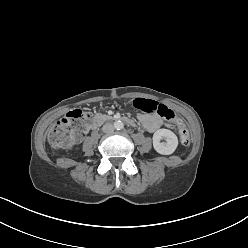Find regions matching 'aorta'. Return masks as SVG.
Wrapping results in <instances>:
<instances>
[{
  "label": "aorta",
  "mask_w": 248,
  "mask_h": 248,
  "mask_svg": "<svg viewBox=\"0 0 248 248\" xmlns=\"http://www.w3.org/2000/svg\"><path fill=\"white\" fill-rule=\"evenodd\" d=\"M114 128L117 130H121L124 128V124L122 121H115L114 122Z\"/></svg>",
  "instance_id": "762f6f07"
}]
</instances>
